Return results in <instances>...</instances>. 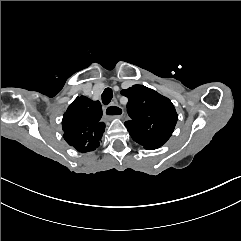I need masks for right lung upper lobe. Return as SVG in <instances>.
Returning a JSON list of instances; mask_svg holds the SVG:
<instances>
[{"label":"right lung upper lobe","mask_w":241,"mask_h":241,"mask_svg":"<svg viewBox=\"0 0 241 241\" xmlns=\"http://www.w3.org/2000/svg\"><path fill=\"white\" fill-rule=\"evenodd\" d=\"M101 117L99 101H92L85 96L77 97L63 115L64 139L81 153L94 151L99 147L105 130Z\"/></svg>","instance_id":"1"}]
</instances>
